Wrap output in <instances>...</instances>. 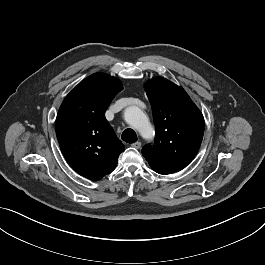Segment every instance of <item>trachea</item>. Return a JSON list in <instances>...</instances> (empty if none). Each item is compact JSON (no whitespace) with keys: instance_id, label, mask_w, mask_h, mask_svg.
<instances>
[{"instance_id":"obj_1","label":"trachea","mask_w":265,"mask_h":265,"mask_svg":"<svg viewBox=\"0 0 265 265\" xmlns=\"http://www.w3.org/2000/svg\"><path fill=\"white\" fill-rule=\"evenodd\" d=\"M121 138L127 143H135L137 141V135L132 129L124 130Z\"/></svg>"}]
</instances>
